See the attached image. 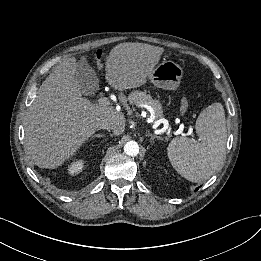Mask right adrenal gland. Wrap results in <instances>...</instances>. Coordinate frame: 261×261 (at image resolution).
<instances>
[{"label":"right adrenal gland","mask_w":261,"mask_h":261,"mask_svg":"<svg viewBox=\"0 0 261 261\" xmlns=\"http://www.w3.org/2000/svg\"><path fill=\"white\" fill-rule=\"evenodd\" d=\"M96 137L102 138V137H104V134H94L91 138L93 139V138H96Z\"/></svg>","instance_id":"1"}]
</instances>
